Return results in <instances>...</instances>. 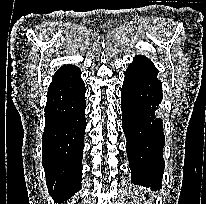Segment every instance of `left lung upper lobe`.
<instances>
[{
    "mask_svg": "<svg viewBox=\"0 0 206 204\" xmlns=\"http://www.w3.org/2000/svg\"><path fill=\"white\" fill-rule=\"evenodd\" d=\"M134 59H148V58L139 55V56H136Z\"/></svg>",
    "mask_w": 206,
    "mask_h": 204,
    "instance_id": "1",
    "label": "left lung upper lobe"
}]
</instances>
